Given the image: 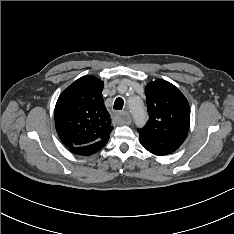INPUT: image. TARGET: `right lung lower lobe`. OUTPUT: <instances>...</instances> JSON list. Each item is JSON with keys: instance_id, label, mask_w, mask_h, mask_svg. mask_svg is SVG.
<instances>
[{"instance_id": "obj_1", "label": "right lung lower lobe", "mask_w": 234, "mask_h": 234, "mask_svg": "<svg viewBox=\"0 0 234 234\" xmlns=\"http://www.w3.org/2000/svg\"><path fill=\"white\" fill-rule=\"evenodd\" d=\"M105 145L106 143L97 142L90 145L71 148L70 150L75 154L87 156L96 153L97 151L102 149Z\"/></svg>"}]
</instances>
